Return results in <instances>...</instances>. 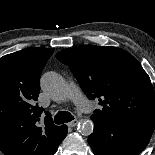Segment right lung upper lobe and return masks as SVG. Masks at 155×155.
Segmentation results:
<instances>
[{"instance_id": "cb5924a9", "label": "right lung upper lobe", "mask_w": 155, "mask_h": 155, "mask_svg": "<svg viewBox=\"0 0 155 155\" xmlns=\"http://www.w3.org/2000/svg\"><path fill=\"white\" fill-rule=\"evenodd\" d=\"M53 48L30 47L0 59V150L4 155H53L67 134L35 106L40 75Z\"/></svg>"}]
</instances>
